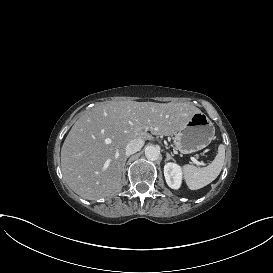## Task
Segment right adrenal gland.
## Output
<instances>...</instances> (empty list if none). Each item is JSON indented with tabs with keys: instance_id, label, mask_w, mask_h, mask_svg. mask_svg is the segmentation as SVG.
<instances>
[{
	"instance_id": "obj_1",
	"label": "right adrenal gland",
	"mask_w": 273,
	"mask_h": 273,
	"mask_svg": "<svg viewBox=\"0 0 273 273\" xmlns=\"http://www.w3.org/2000/svg\"><path fill=\"white\" fill-rule=\"evenodd\" d=\"M129 157H130V156H126V159H125V162H124V167H125L126 160H127Z\"/></svg>"
}]
</instances>
